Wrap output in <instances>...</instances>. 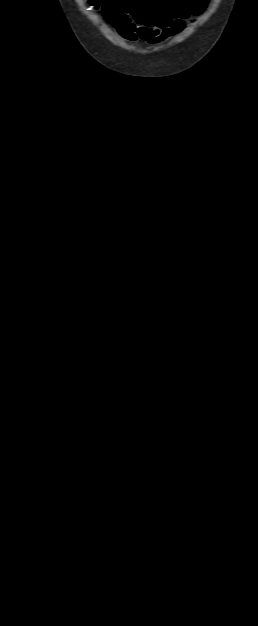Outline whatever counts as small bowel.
<instances>
[{
    "mask_svg": "<svg viewBox=\"0 0 258 626\" xmlns=\"http://www.w3.org/2000/svg\"><path fill=\"white\" fill-rule=\"evenodd\" d=\"M95 3V2H94ZM208 0H177L166 3L154 16V22L134 24L128 10L117 9L115 0H106L103 13L106 19L127 40H142L149 44H159L179 34L192 16L200 14Z\"/></svg>",
    "mask_w": 258,
    "mask_h": 626,
    "instance_id": "1",
    "label": "small bowel"
}]
</instances>
